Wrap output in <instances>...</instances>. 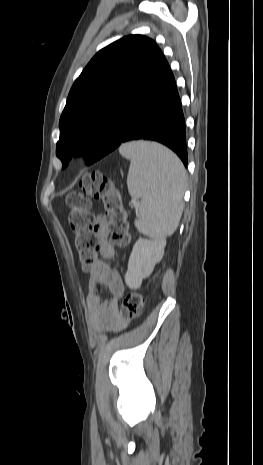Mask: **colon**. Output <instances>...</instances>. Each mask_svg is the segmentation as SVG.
I'll return each instance as SVG.
<instances>
[{"mask_svg":"<svg viewBox=\"0 0 263 465\" xmlns=\"http://www.w3.org/2000/svg\"><path fill=\"white\" fill-rule=\"evenodd\" d=\"M102 200L105 213L96 218L90 212L91 200ZM70 211L68 224L75 236V247L84 270L93 267L97 257L99 238L96 230L99 224L107 229L112 242L124 247L129 244L127 215L122 205L119 191L113 181L100 172H91L82 178L80 190L66 197ZM143 305V296L139 292L129 293L123 300L119 312V321L127 322L135 318Z\"/></svg>","mask_w":263,"mask_h":465,"instance_id":"1","label":"colon"}]
</instances>
